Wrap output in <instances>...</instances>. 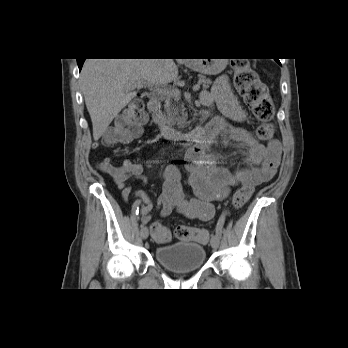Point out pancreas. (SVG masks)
Returning <instances> with one entry per match:
<instances>
[{"label":"pancreas","mask_w":348,"mask_h":348,"mask_svg":"<svg viewBox=\"0 0 348 348\" xmlns=\"http://www.w3.org/2000/svg\"><path fill=\"white\" fill-rule=\"evenodd\" d=\"M199 82L203 89H208L212 81L204 75H199ZM163 117L169 126H177L178 129L184 128L187 121V113L178 98L168 96L164 104Z\"/></svg>","instance_id":"obj_1"}]
</instances>
